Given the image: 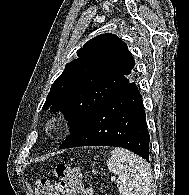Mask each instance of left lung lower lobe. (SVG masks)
Returning <instances> with one entry per match:
<instances>
[{
    "label": "left lung lower lobe",
    "instance_id": "1",
    "mask_svg": "<svg viewBox=\"0 0 189 195\" xmlns=\"http://www.w3.org/2000/svg\"><path fill=\"white\" fill-rule=\"evenodd\" d=\"M149 133L142 96L129 83L104 101L60 145L116 146L126 148L149 162Z\"/></svg>",
    "mask_w": 189,
    "mask_h": 195
}]
</instances>
